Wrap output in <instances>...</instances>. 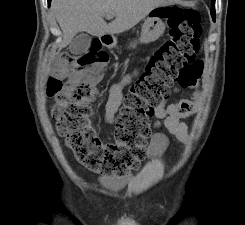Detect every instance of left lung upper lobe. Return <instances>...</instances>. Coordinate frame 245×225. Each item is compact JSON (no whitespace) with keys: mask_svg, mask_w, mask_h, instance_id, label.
I'll list each match as a JSON object with an SVG mask.
<instances>
[{"mask_svg":"<svg viewBox=\"0 0 245 225\" xmlns=\"http://www.w3.org/2000/svg\"><path fill=\"white\" fill-rule=\"evenodd\" d=\"M215 0H212V7H211V16L213 20H215Z\"/></svg>","mask_w":245,"mask_h":225,"instance_id":"1","label":"left lung upper lobe"}]
</instances>
